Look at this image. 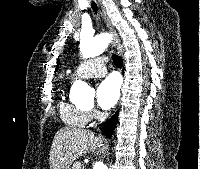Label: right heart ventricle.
Segmentation results:
<instances>
[{
  "instance_id": "right-heart-ventricle-1",
  "label": "right heart ventricle",
  "mask_w": 200,
  "mask_h": 169,
  "mask_svg": "<svg viewBox=\"0 0 200 169\" xmlns=\"http://www.w3.org/2000/svg\"><path fill=\"white\" fill-rule=\"evenodd\" d=\"M59 113L62 121L69 126L81 128L88 123L86 110L65 100L59 103Z\"/></svg>"
}]
</instances>
